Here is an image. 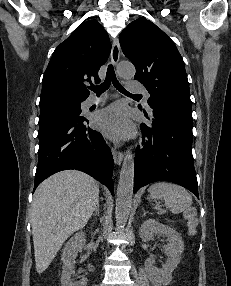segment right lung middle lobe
<instances>
[{
    "label": "right lung middle lobe",
    "instance_id": "obj_1",
    "mask_svg": "<svg viewBox=\"0 0 231 286\" xmlns=\"http://www.w3.org/2000/svg\"><path fill=\"white\" fill-rule=\"evenodd\" d=\"M82 101H69L40 107L39 127L66 118H81Z\"/></svg>",
    "mask_w": 231,
    "mask_h": 286
}]
</instances>
